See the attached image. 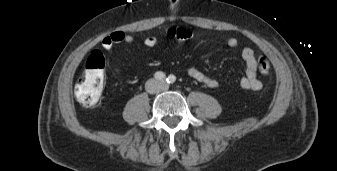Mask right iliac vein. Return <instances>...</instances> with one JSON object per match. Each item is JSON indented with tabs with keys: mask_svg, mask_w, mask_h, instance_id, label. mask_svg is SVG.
I'll use <instances>...</instances> for the list:
<instances>
[{
	"mask_svg": "<svg viewBox=\"0 0 337 171\" xmlns=\"http://www.w3.org/2000/svg\"><path fill=\"white\" fill-rule=\"evenodd\" d=\"M151 86H154V82H151V84H150Z\"/></svg>",
	"mask_w": 337,
	"mask_h": 171,
	"instance_id": "1",
	"label": "right iliac vein"
}]
</instances>
